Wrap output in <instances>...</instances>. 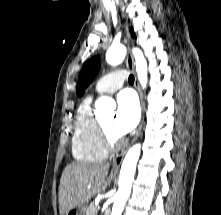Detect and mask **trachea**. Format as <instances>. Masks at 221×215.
Returning a JSON list of instances; mask_svg holds the SVG:
<instances>
[{"mask_svg": "<svg viewBox=\"0 0 221 215\" xmlns=\"http://www.w3.org/2000/svg\"><path fill=\"white\" fill-rule=\"evenodd\" d=\"M129 83H134V76L133 75H130L129 76V79H128Z\"/></svg>", "mask_w": 221, "mask_h": 215, "instance_id": "trachea-1", "label": "trachea"}]
</instances>
